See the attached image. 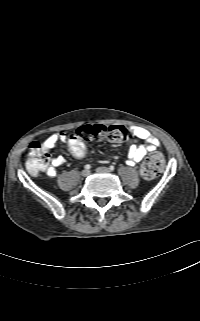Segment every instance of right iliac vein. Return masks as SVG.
Returning a JSON list of instances; mask_svg holds the SVG:
<instances>
[{
    "label": "right iliac vein",
    "instance_id": "63e3f726",
    "mask_svg": "<svg viewBox=\"0 0 200 321\" xmlns=\"http://www.w3.org/2000/svg\"><path fill=\"white\" fill-rule=\"evenodd\" d=\"M90 175V171L88 169H84L82 172H81V176L82 177H88Z\"/></svg>",
    "mask_w": 200,
    "mask_h": 321
}]
</instances>
